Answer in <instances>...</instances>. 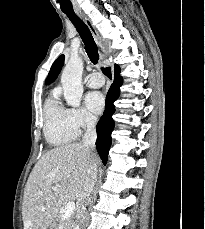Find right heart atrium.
<instances>
[{
	"label": "right heart atrium",
	"mask_w": 205,
	"mask_h": 229,
	"mask_svg": "<svg viewBox=\"0 0 205 229\" xmlns=\"http://www.w3.org/2000/svg\"><path fill=\"white\" fill-rule=\"evenodd\" d=\"M68 117L73 127L80 133L95 125V117L84 108H68Z\"/></svg>",
	"instance_id": "1"
}]
</instances>
